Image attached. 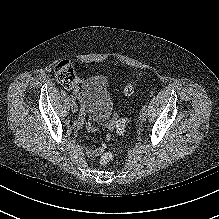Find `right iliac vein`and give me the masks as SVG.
<instances>
[{
	"mask_svg": "<svg viewBox=\"0 0 219 219\" xmlns=\"http://www.w3.org/2000/svg\"><path fill=\"white\" fill-rule=\"evenodd\" d=\"M71 110H72L73 113H77V111H78V105H77L76 102H72V104H71Z\"/></svg>",
	"mask_w": 219,
	"mask_h": 219,
	"instance_id": "1",
	"label": "right iliac vein"
}]
</instances>
